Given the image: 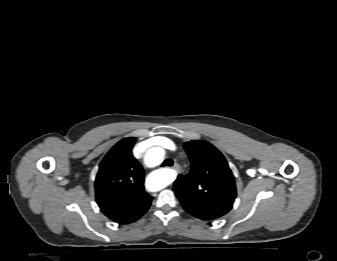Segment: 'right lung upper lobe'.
Returning <instances> with one entry per match:
<instances>
[{
	"label": "right lung upper lobe",
	"instance_id": "cb5924a9",
	"mask_svg": "<svg viewBox=\"0 0 337 261\" xmlns=\"http://www.w3.org/2000/svg\"><path fill=\"white\" fill-rule=\"evenodd\" d=\"M135 137L124 138L106 154L95 181L96 201L101 211L120 224L144 215L153 199L144 191V170L133 157Z\"/></svg>",
	"mask_w": 337,
	"mask_h": 261
}]
</instances>
